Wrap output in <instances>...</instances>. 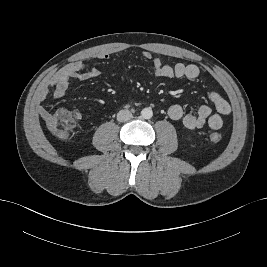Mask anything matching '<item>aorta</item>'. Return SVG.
I'll return each instance as SVG.
<instances>
[{
	"label": "aorta",
	"mask_w": 267,
	"mask_h": 267,
	"mask_svg": "<svg viewBox=\"0 0 267 267\" xmlns=\"http://www.w3.org/2000/svg\"><path fill=\"white\" fill-rule=\"evenodd\" d=\"M152 116H153V111L151 108H144L141 111V117L144 119H150V118H152Z\"/></svg>",
	"instance_id": "aorta-1"
}]
</instances>
